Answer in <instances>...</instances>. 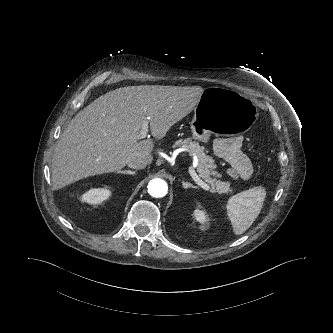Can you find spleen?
I'll list each match as a JSON object with an SVG mask.
<instances>
[{"mask_svg": "<svg viewBox=\"0 0 333 333\" xmlns=\"http://www.w3.org/2000/svg\"><path fill=\"white\" fill-rule=\"evenodd\" d=\"M266 196L263 187H254L229 198L226 209L236 235L243 234L258 217Z\"/></svg>", "mask_w": 333, "mask_h": 333, "instance_id": "1", "label": "spleen"}]
</instances>
